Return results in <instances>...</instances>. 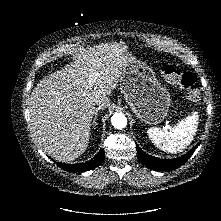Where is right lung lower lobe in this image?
<instances>
[{"mask_svg":"<svg viewBox=\"0 0 221 221\" xmlns=\"http://www.w3.org/2000/svg\"><path fill=\"white\" fill-rule=\"evenodd\" d=\"M104 150L100 149V151L98 152V154L91 159L90 161H87L85 163H80V164H64V163H57L58 166L66 171L69 172H84V171H88L91 170L93 168H96L97 166H99L103 160H104Z\"/></svg>","mask_w":221,"mask_h":221,"instance_id":"right-lung-lower-lobe-1","label":"right lung lower lobe"}]
</instances>
